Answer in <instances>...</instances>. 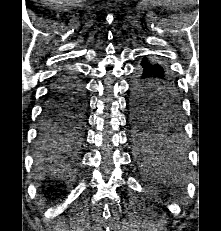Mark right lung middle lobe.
<instances>
[{
    "label": "right lung middle lobe",
    "instance_id": "dd1d6c3e",
    "mask_svg": "<svg viewBox=\"0 0 221 231\" xmlns=\"http://www.w3.org/2000/svg\"><path fill=\"white\" fill-rule=\"evenodd\" d=\"M86 98L50 105L40 121L38 141L45 148L77 142L82 135Z\"/></svg>",
    "mask_w": 221,
    "mask_h": 231
}]
</instances>
